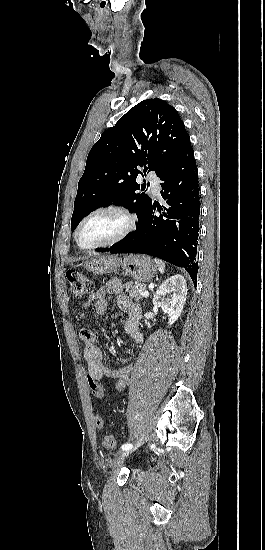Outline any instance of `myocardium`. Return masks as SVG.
I'll use <instances>...</instances> for the list:
<instances>
[{"label":"myocardium","mask_w":265,"mask_h":550,"mask_svg":"<svg viewBox=\"0 0 265 550\" xmlns=\"http://www.w3.org/2000/svg\"><path fill=\"white\" fill-rule=\"evenodd\" d=\"M107 211L114 212V213H116V214H118V215H120L124 218L125 226L122 229V231L118 235H116L114 238L110 239L109 241L99 243V244L89 246V247L82 246L79 242V239H78L79 231H80L82 225L89 218L94 216L95 214H98V213H101V212H107ZM136 225H137V218H136L135 214H133L128 209H126L124 207H121V206H117V205H104V206H100V207H97V208L93 209L92 211L87 213L79 221L78 225L75 228L73 237H74V241H75V243H76V245L78 246L79 249H81L83 251H93V250H97V249H100V248H107V247L113 246V245L121 242L130 233H132V231L136 228Z\"/></svg>","instance_id":"f54148a6"}]
</instances>
